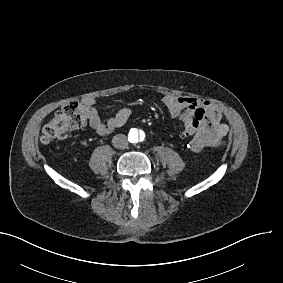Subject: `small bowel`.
<instances>
[{
  "mask_svg": "<svg viewBox=\"0 0 283 283\" xmlns=\"http://www.w3.org/2000/svg\"><path fill=\"white\" fill-rule=\"evenodd\" d=\"M184 102L192 103L195 106V118L199 123L198 131L192 134L193 138L188 143L189 150L200 152L208 147L223 144L224 137L229 132V125L223 120V114L218 107L204 98L189 95L166 94L162 97L163 105L174 118L178 106ZM95 104L96 99L94 97H85L80 102V109L89 121L90 126L99 135L109 134L113 130L122 127L131 117V110L122 108L102 120L95 108Z\"/></svg>",
  "mask_w": 283,
  "mask_h": 283,
  "instance_id": "small-bowel-1",
  "label": "small bowel"
}]
</instances>
